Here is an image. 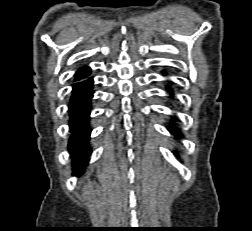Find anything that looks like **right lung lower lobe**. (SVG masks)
Segmentation results:
<instances>
[{
	"label": "right lung lower lobe",
	"mask_w": 252,
	"mask_h": 231,
	"mask_svg": "<svg viewBox=\"0 0 252 231\" xmlns=\"http://www.w3.org/2000/svg\"><path fill=\"white\" fill-rule=\"evenodd\" d=\"M92 88V78L76 82L72 88L69 103V123L72 135L69 139L68 149L73 158V175L87 165L88 156L91 154V148L88 144L91 128L88 123L91 98L93 97Z\"/></svg>",
	"instance_id": "98d812e1"
}]
</instances>
